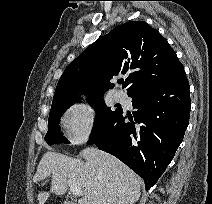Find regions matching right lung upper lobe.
<instances>
[{
	"label": "right lung upper lobe",
	"mask_w": 212,
	"mask_h": 204,
	"mask_svg": "<svg viewBox=\"0 0 212 204\" xmlns=\"http://www.w3.org/2000/svg\"><path fill=\"white\" fill-rule=\"evenodd\" d=\"M184 70L176 53L158 30L144 21L114 28L86 48L62 74L52 108L78 100L81 84L88 85L89 99L103 96L118 74H129L127 94L165 82Z\"/></svg>",
	"instance_id": "cb5924a9"
}]
</instances>
